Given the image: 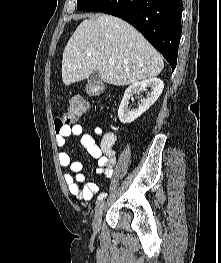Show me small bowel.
<instances>
[{"instance_id": "c3829d8e", "label": "small bowel", "mask_w": 221, "mask_h": 263, "mask_svg": "<svg viewBox=\"0 0 221 263\" xmlns=\"http://www.w3.org/2000/svg\"><path fill=\"white\" fill-rule=\"evenodd\" d=\"M93 132L99 137V142H96L93 135L84 133L80 124L68 126L56 134L55 143L58 148H62L70 136L80 137L81 145L97 160V173L103 177L111 178L117 163L116 152L113 149L116 135L113 132H104L100 126H95ZM57 157L61 166L69 168V172L63 174L69 194L79 201H90L98 193L99 186L94 182H88L83 188H80L79 183L85 179L82 173V163L72 160L70 155L64 151H59Z\"/></svg>"}]
</instances>
